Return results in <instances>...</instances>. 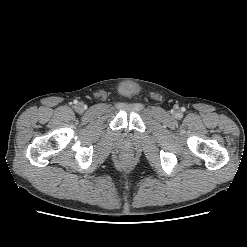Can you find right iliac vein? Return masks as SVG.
<instances>
[{
    "instance_id": "obj_1",
    "label": "right iliac vein",
    "mask_w": 247,
    "mask_h": 247,
    "mask_svg": "<svg viewBox=\"0 0 247 247\" xmlns=\"http://www.w3.org/2000/svg\"><path fill=\"white\" fill-rule=\"evenodd\" d=\"M75 109L78 113H83L85 111V106L82 102H79L76 106Z\"/></svg>"
}]
</instances>
